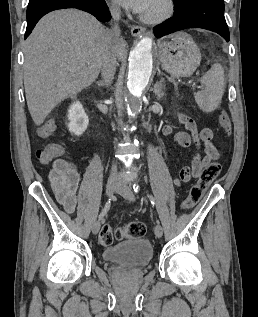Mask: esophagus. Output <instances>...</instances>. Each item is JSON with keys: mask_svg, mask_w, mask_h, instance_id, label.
Returning <instances> with one entry per match:
<instances>
[{"mask_svg": "<svg viewBox=\"0 0 258 317\" xmlns=\"http://www.w3.org/2000/svg\"><path fill=\"white\" fill-rule=\"evenodd\" d=\"M145 32V29L139 25H133L131 27V34L133 37H139L142 36Z\"/></svg>", "mask_w": 258, "mask_h": 317, "instance_id": "esophagus-1", "label": "esophagus"}]
</instances>
